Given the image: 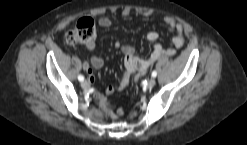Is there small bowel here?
I'll return each instance as SVG.
<instances>
[{
	"mask_svg": "<svg viewBox=\"0 0 247 145\" xmlns=\"http://www.w3.org/2000/svg\"><path fill=\"white\" fill-rule=\"evenodd\" d=\"M123 14L127 15V12H123ZM163 22L168 28V30L173 33V47L181 48L184 44L182 24L177 22L172 17H165L163 19ZM98 24L102 28H109L112 25V21L109 17H101L98 20ZM146 37L149 41L155 42L153 52L151 56L147 59L137 58L135 56V49L132 45L122 43L121 41L115 42V48L120 50L124 55V76L118 84H110L106 88L104 94L96 90L93 92V96L100 108L112 120H118L123 115V110L121 108H116L114 104L108 100V96L111 95L115 90L124 89L128 85L130 75L135 74L136 79H138L140 76L144 75L155 62H157L165 56H172L175 54V49L173 47L164 48L160 43L157 42L159 35L156 31L149 30L146 33ZM85 47L88 51H92L95 48V44L94 42H92L87 44ZM103 64V58L96 55L92 56L89 61L83 63V69L88 74L89 85L95 81L94 69L101 68Z\"/></svg>",
	"mask_w": 247,
	"mask_h": 145,
	"instance_id": "c3829d8e",
	"label": "small bowel"
}]
</instances>
